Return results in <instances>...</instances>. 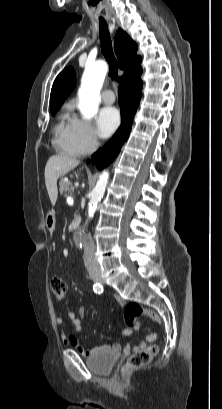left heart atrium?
Returning <instances> with one entry per match:
<instances>
[{
	"mask_svg": "<svg viewBox=\"0 0 222 409\" xmlns=\"http://www.w3.org/2000/svg\"><path fill=\"white\" fill-rule=\"evenodd\" d=\"M120 123V114L115 107L102 108L97 116V131L98 134L107 138L111 136Z\"/></svg>",
	"mask_w": 222,
	"mask_h": 409,
	"instance_id": "1",
	"label": "left heart atrium"
}]
</instances>
